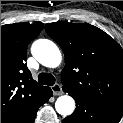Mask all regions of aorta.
<instances>
[{
	"mask_svg": "<svg viewBox=\"0 0 123 123\" xmlns=\"http://www.w3.org/2000/svg\"><path fill=\"white\" fill-rule=\"evenodd\" d=\"M33 56L43 66L54 68L62 60L61 52L57 45L48 39H38L32 44ZM56 111L63 116L71 115L75 110V101L69 95L60 96L55 102Z\"/></svg>",
	"mask_w": 123,
	"mask_h": 123,
	"instance_id": "aorta-1",
	"label": "aorta"
}]
</instances>
